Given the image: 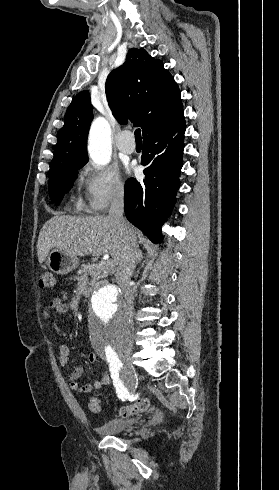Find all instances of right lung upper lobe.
<instances>
[{"label": "right lung upper lobe", "instance_id": "obj_1", "mask_svg": "<svg viewBox=\"0 0 279 490\" xmlns=\"http://www.w3.org/2000/svg\"><path fill=\"white\" fill-rule=\"evenodd\" d=\"M106 96L115 118L140 126L143 138L184 120L180 90L163 63L143 49L132 48L126 62L106 81ZM93 119L88 91L77 94L67 109L54 149L50 174L88 161L86 140Z\"/></svg>", "mask_w": 279, "mask_h": 490}]
</instances>
